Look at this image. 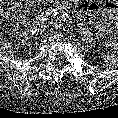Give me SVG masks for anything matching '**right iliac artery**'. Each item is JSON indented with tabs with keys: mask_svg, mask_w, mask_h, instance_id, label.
Instances as JSON below:
<instances>
[{
	"mask_svg": "<svg viewBox=\"0 0 118 118\" xmlns=\"http://www.w3.org/2000/svg\"><path fill=\"white\" fill-rule=\"evenodd\" d=\"M57 15V11L55 9H48L46 13L39 17V21H46L49 20Z\"/></svg>",
	"mask_w": 118,
	"mask_h": 118,
	"instance_id": "obj_1",
	"label": "right iliac artery"
}]
</instances>
